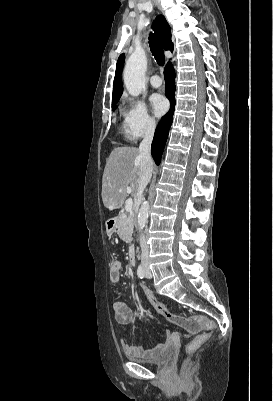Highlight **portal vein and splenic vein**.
<instances>
[{
	"label": "portal vein and splenic vein",
	"mask_w": 273,
	"mask_h": 401,
	"mask_svg": "<svg viewBox=\"0 0 273 401\" xmlns=\"http://www.w3.org/2000/svg\"><path fill=\"white\" fill-rule=\"evenodd\" d=\"M126 192H132V188H130V186H127L126 188ZM132 205H133V201L132 198H128V201H126V205H125V211H127V213H130V211H132Z\"/></svg>",
	"instance_id": "18ae733b"
}]
</instances>
